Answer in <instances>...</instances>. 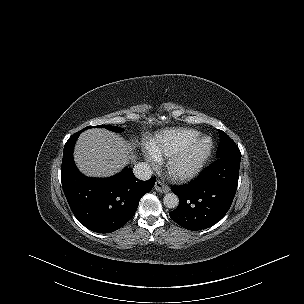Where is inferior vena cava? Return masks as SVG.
Masks as SVG:
<instances>
[{"label":"inferior vena cava","instance_id":"obj_1","mask_svg":"<svg viewBox=\"0 0 304 304\" xmlns=\"http://www.w3.org/2000/svg\"><path fill=\"white\" fill-rule=\"evenodd\" d=\"M133 172H134V175L136 176V178H138L140 180L150 179L152 176V173H153L150 165H148L145 162H139V163L135 164V166L133 168Z\"/></svg>","mask_w":304,"mask_h":304}]
</instances>
